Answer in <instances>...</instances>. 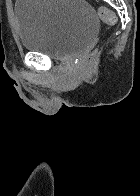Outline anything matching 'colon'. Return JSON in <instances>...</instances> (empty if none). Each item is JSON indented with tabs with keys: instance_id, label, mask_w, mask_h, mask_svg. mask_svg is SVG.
I'll return each mask as SVG.
<instances>
[{
	"instance_id": "colon-1",
	"label": "colon",
	"mask_w": 140,
	"mask_h": 196,
	"mask_svg": "<svg viewBox=\"0 0 140 196\" xmlns=\"http://www.w3.org/2000/svg\"><path fill=\"white\" fill-rule=\"evenodd\" d=\"M98 14L102 22L104 23V25L107 27L113 26L117 21L115 13L105 7H99ZM95 56H96V51L95 50L91 51L85 59L83 68L88 67L95 59Z\"/></svg>"
}]
</instances>
